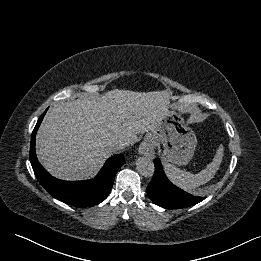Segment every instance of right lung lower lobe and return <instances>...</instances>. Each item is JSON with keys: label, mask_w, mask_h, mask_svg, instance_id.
<instances>
[{"label": "right lung lower lobe", "mask_w": 261, "mask_h": 261, "mask_svg": "<svg viewBox=\"0 0 261 261\" xmlns=\"http://www.w3.org/2000/svg\"><path fill=\"white\" fill-rule=\"evenodd\" d=\"M46 111L38 119L31 136L30 162L35 176L54 198L66 204L86 208L101 203L112 189L116 172L125 164L124 155L117 154L110 157L94 179L86 181H63L56 179L38 162L35 151L36 132Z\"/></svg>", "instance_id": "right-lung-lower-lobe-1"}]
</instances>
